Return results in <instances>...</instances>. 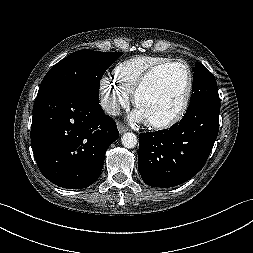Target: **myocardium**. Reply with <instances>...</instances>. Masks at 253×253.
<instances>
[{
	"mask_svg": "<svg viewBox=\"0 0 253 253\" xmlns=\"http://www.w3.org/2000/svg\"><path fill=\"white\" fill-rule=\"evenodd\" d=\"M173 66L182 67L185 70L186 75H187V87H186L185 95L183 98V102L178 112L172 117L165 119L163 121H147V125L154 129L170 128L178 124L185 117L189 109V105H190L191 97L193 93V87H194V75H193L192 68L184 60H169L167 62L155 65L152 68H150L142 76V78L140 79V81L138 82V84L136 85L132 93L133 104L136 105L140 93L146 88V86L154 78V76L161 70L169 68V67H173Z\"/></svg>",
	"mask_w": 253,
	"mask_h": 253,
	"instance_id": "obj_1",
	"label": "myocardium"
}]
</instances>
